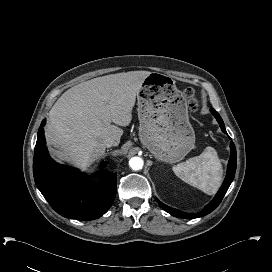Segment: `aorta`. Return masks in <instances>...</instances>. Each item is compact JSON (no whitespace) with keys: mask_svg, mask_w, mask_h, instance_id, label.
Here are the masks:
<instances>
[{"mask_svg":"<svg viewBox=\"0 0 272 272\" xmlns=\"http://www.w3.org/2000/svg\"><path fill=\"white\" fill-rule=\"evenodd\" d=\"M143 164L144 162L140 157H133L129 161V166L135 171L142 169Z\"/></svg>","mask_w":272,"mask_h":272,"instance_id":"obj_1","label":"aorta"}]
</instances>
